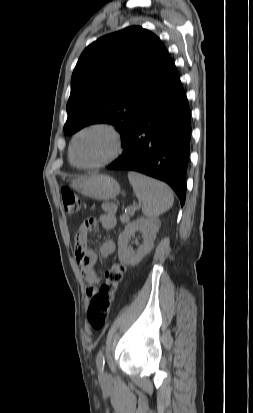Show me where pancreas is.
Returning a JSON list of instances; mask_svg holds the SVG:
<instances>
[{"instance_id":"1","label":"pancreas","mask_w":253,"mask_h":413,"mask_svg":"<svg viewBox=\"0 0 253 413\" xmlns=\"http://www.w3.org/2000/svg\"><path fill=\"white\" fill-rule=\"evenodd\" d=\"M132 214H133V213H132L131 209L129 208L127 214L120 216L121 222H122V223H127V222H129L130 216H131Z\"/></svg>"}]
</instances>
